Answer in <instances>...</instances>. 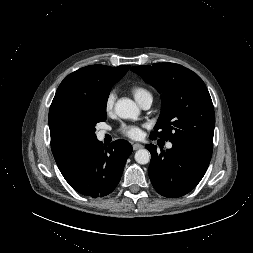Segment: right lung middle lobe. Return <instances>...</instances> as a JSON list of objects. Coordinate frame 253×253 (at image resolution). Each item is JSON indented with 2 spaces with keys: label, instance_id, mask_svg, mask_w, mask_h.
Instances as JSON below:
<instances>
[{
  "label": "right lung middle lobe",
  "instance_id": "dd1d6c3e",
  "mask_svg": "<svg viewBox=\"0 0 253 253\" xmlns=\"http://www.w3.org/2000/svg\"><path fill=\"white\" fill-rule=\"evenodd\" d=\"M110 89L111 87L105 90L104 96L96 104L68 113L67 126L82 143L95 139V125L106 120V103Z\"/></svg>",
  "mask_w": 253,
  "mask_h": 253
}]
</instances>
